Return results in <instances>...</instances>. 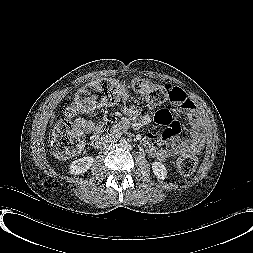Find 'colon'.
<instances>
[{
  "label": "colon",
  "mask_w": 253,
  "mask_h": 253,
  "mask_svg": "<svg viewBox=\"0 0 253 253\" xmlns=\"http://www.w3.org/2000/svg\"><path fill=\"white\" fill-rule=\"evenodd\" d=\"M135 90L143 92L147 104L157 107L166 101H174V89L168 85H160L143 79L133 83ZM129 97V86L115 79L94 81L79 91L76 101L67 109L69 115L78 110L90 112L103 106L125 102ZM53 153L59 158H70L83 149L85 139L70 122H61L54 130L52 141ZM177 166L183 175H190L196 167V159L187 155L181 157Z\"/></svg>",
  "instance_id": "5ec220e1"
}]
</instances>
